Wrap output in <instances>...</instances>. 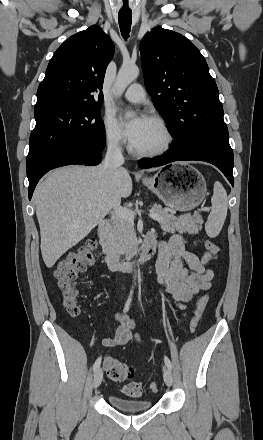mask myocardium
Returning a JSON list of instances; mask_svg holds the SVG:
<instances>
[{
  "instance_id": "obj_1",
  "label": "myocardium",
  "mask_w": 263,
  "mask_h": 440,
  "mask_svg": "<svg viewBox=\"0 0 263 440\" xmlns=\"http://www.w3.org/2000/svg\"><path fill=\"white\" fill-rule=\"evenodd\" d=\"M148 120L155 123L161 129V131L164 134V142L161 146H159L155 149L146 150V151L138 150L134 146H132L133 154L138 157L150 158V157L161 156V155L167 153L172 148V146L175 142L174 133H173L172 129L170 128V126L168 125V123L163 118L156 116V115H153V116H150L148 118Z\"/></svg>"
}]
</instances>
